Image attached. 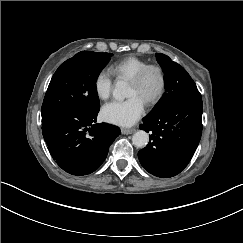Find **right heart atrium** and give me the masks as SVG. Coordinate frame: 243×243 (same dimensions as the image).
Listing matches in <instances>:
<instances>
[{"label":"right heart atrium","instance_id":"1","mask_svg":"<svg viewBox=\"0 0 243 243\" xmlns=\"http://www.w3.org/2000/svg\"><path fill=\"white\" fill-rule=\"evenodd\" d=\"M93 90L99 100L110 97L113 90V73L108 67L100 68L93 78Z\"/></svg>","mask_w":243,"mask_h":243}]
</instances>
